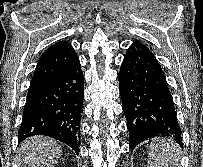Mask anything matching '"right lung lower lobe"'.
Segmentation results:
<instances>
[{"label": "right lung lower lobe", "mask_w": 203, "mask_h": 167, "mask_svg": "<svg viewBox=\"0 0 203 167\" xmlns=\"http://www.w3.org/2000/svg\"><path fill=\"white\" fill-rule=\"evenodd\" d=\"M83 99L84 77L77 57L54 79L28 91L18 142L45 135L66 143L78 153Z\"/></svg>", "instance_id": "right-lung-lower-lobe-1"}]
</instances>
